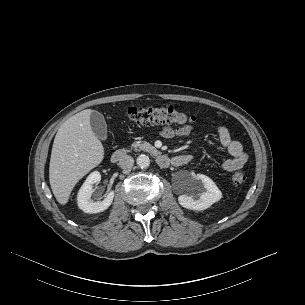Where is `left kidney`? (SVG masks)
Segmentation results:
<instances>
[{
    "label": "left kidney",
    "mask_w": 305,
    "mask_h": 305,
    "mask_svg": "<svg viewBox=\"0 0 305 305\" xmlns=\"http://www.w3.org/2000/svg\"><path fill=\"white\" fill-rule=\"evenodd\" d=\"M187 193L178 197L179 204L190 210H205L222 198V193L209 177L203 174L193 175L188 181ZM200 191L199 198L193 197V191Z\"/></svg>",
    "instance_id": "1"
}]
</instances>
